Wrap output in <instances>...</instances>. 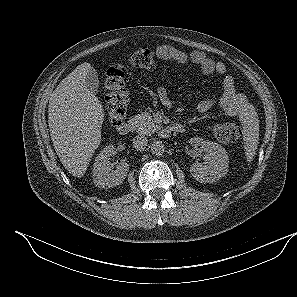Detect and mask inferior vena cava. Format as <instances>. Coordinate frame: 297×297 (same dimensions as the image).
I'll return each mask as SVG.
<instances>
[{
	"instance_id": "inferior-vena-cava-1",
	"label": "inferior vena cava",
	"mask_w": 297,
	"mask_h": 297,
	"mask_svg": "<svg viewBox=\"0 0 297 297\" xmlns=\"http://www.w3.org/2000/svg\"><path fill=\"white\" fill-rule=\"evenodd\" d=\"M148 140L145 136H136L133 139V146L136 150L142 151L146 148Z\"/></svg>"
}]
</instances>
